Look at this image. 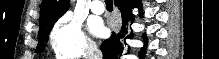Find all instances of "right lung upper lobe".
<instances>
[{
  "label": "right lung upper lobe",
  "instance_id": "right-lung-upper-lobe-1",
  "mask_svg": "<svg viewBox=\"0 0 219 59\" xmlns=\"http://www.w3.org/2000/svg\"><path fill=\"white\" fill-rule=\"evenodd\" d=\"M69 8V0H42L39 28L55 23Z\"/></svg>",
  "mask_w": 219,
  "mask_h": 59
}]
</instances>
